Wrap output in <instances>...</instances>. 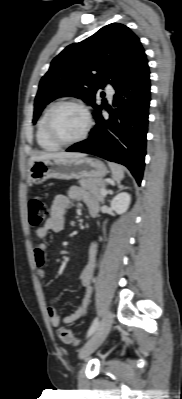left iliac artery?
Returning <instances> with one entry per match:
<instances>
[{
	"label": "left iliac artery",
	"mask_w": 182,
	"mask_h": 399,
	"mask_svg": "<svg viewBox=\"0 0 182 399\" xmlns=\"http://www.w3.org/2000/svg\"><path fill=\"white\" fill-rule=\"evenodd\" d=\"M98 325H99V320H98V318H95L92 325L90 326V328L88 330L87 337H89L90 335H92L95 332Z\"/></svg>",
	"instance_id": "obj_1"
}]
</instances>
